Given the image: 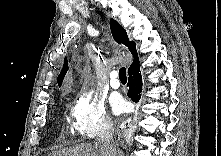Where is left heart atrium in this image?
<instances>
[{
    "instance_id": "obj_1",
    "label": "left heart atrium",
    "mask_w": 221,
    "mask_h": 156,
    "mask_svg": "<svg viewBox=\"0 0 221 156\" xmlns=\"http://www.w3.org/2000/svg\"><path fill=\"white\" fill-rule=\"evenodd\" d=\"M126 102L121 97H115L112 100V109L115 114H120L126 110Z\"/></svg>"
}]
</instances>
